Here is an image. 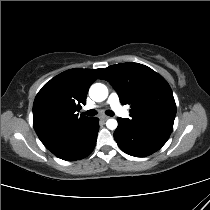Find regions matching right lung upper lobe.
<instances>
[{
    "instance_id": "1",
    "label": "right lung upper lobe",
    "mask_w": 210,
    "mask_h": 210,
    "mask_svg": "<svg viewBox=\"0 0 210 210\" xmlns=\"http://www.w3.org/2000/svg\"><path fill=\"white\" fill-rule=\"evenodd\" d=\"M101 71L70 69L55 76L38 92L33 104V126L46 148L90 120L91 117L75 112L80 104H85L88 89Z\"/></svg>"
}]
</instances>
